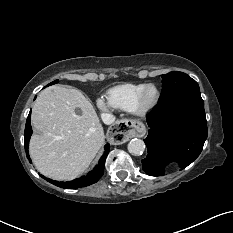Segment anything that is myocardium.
Wrapping results in <instances>:
<instances>
[{"label": "myocardium", "mask_w": 233, "mask_h": 233, "mask_svg": "<svg viewBox=\"0 0 233 233\" xmlns=\"http://www.w3.org/2000/svg\"><path fill=\"white\" fill-rule=\"evenodd\" d=\"M148 88H153L156 92V96L152 102L147 104L144 102V95ZM159 99H160L159 88L153 83L145 84L143 88L139 91L135 99L132 111L137 115H145L157 105V103L159 102Z\"/></svg>", "instance_id": "myocardium-1"}]
</instances>
